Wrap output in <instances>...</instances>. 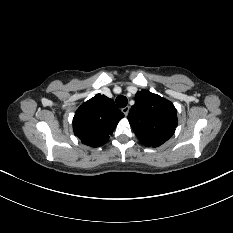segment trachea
Segmentation results:
<instances>
[{"mask_svg": "<svg viewBox=\"0 0 233 233\" xmlns=\"http://www.w3.org/2000/svg\"><path fill=\"white\" fill-rule=\"evenodd\" d=\"M128 103V99L127 97L120 95L116 98V104L120 107V108H124Z\"/></svg>", "mask_w": 233, "mask_h": 233, "instance_id": "3493384b", "label": "trachea"}]
</instances>
